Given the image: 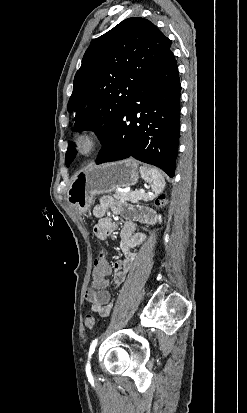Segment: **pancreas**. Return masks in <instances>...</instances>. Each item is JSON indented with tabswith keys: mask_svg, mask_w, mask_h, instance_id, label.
Segmentation results:
<instances>
[{
	"mask_svg": "<svg viewBox=\"0 0 247 413\" xmlns=\"http://www.w3.org/2000/svg\"><path fill=\"white\" fill-rule=\"evenodd\" d=\"M114 198H117L119 202H139V200H153L155 194H148V192H139V190H129V192H120V190H115L113 194Z\"/></svg>",
	"mask_w": 247,
	"mask_h": 413,
	"instance_id": "pancreas-1",
	"label": "pancreas"
}]
</instances>
